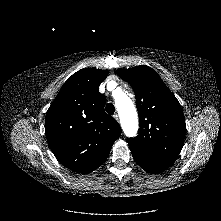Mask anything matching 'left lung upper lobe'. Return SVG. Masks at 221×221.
<instances>
[{
    "instance_id": "5c2ea615",
    "label": "left lung upper lobe",
    "mask_w": 221,
    "mask_h": 221,
    "mask_svg": "<svg viewBox=\"0 0 221 221\" xmlns=\"http://www.w3.org/2000/svg\"><path fill=\"white\" fill-rule=\"evenodd\" d=\"M117 74L135 91L140 118L138 136L128 139V145L151 156L174 161L183 147L186 131L177 98L149 66L118 69Z\"/></svg>"
}]
</instances>
